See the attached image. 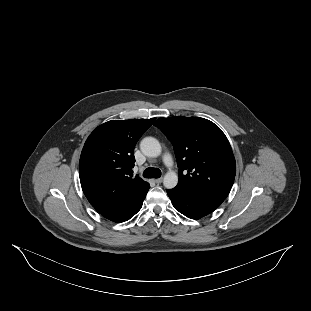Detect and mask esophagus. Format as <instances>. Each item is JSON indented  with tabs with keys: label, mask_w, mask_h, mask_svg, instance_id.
I'll return each instance as SVG.
<instances>
[{
	"label": "esophagus",
	"mask_w": 311,
	"mask_h": 311,
	"mask_svg": "<svg viewBox=\"0 0 311 311\" xmlns=\"http://www.w3.org/2000/svg\"><path fill=\"white\" fill-rule=\"evenodd\" d=\"M162 181H163V178H158L154 180L156 184H160Z\"/></svg>",
	"instance_id": "obj_1"
}]
</instances>
